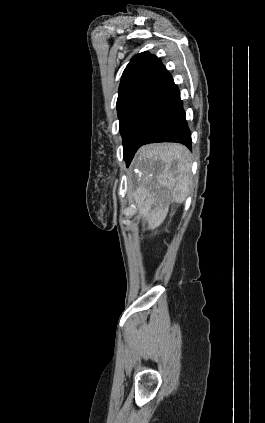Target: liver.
Instances as JSON below:
<instances>
[{
  "label": "liver",
  "instance_id": "obj_1",
  "mask_svg": "<svg viewBox=\"0 0 265 423\" xmlns=\"http://www.w3.org/2000/svg\"><path fill=\"white\" fill-rule=\"evenodd\" d=\"M191 164V154L181 144H151L139 149L133 166L141 173L143 183L133 193V198L149 230L162 224L171 201L179 204L185 200ZM161 187L167 190L160 195L157 189Z\"/></svg>",
  "mask_w": 265,
  "mask_h": 423
}]
</instances>
